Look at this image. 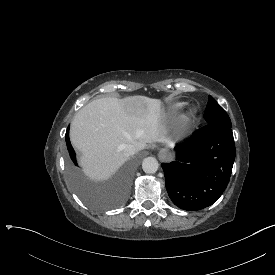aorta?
I'll return each mask as SVG.
<instances>
[{"label":"aorta","instance_id":"obj_1","mask_svg":"<svg viewBox=\"0 0 275 275\" xmlns=\"http://www.w3.org/2000/svg\"><path fill=\"white\" fill-rule=\"evenodd\" d=\"M142 167L146 173H154L158 169V161L154 157H146L143 159Z\"/></svg>","mask_w":275,"mask_h":275}]
</instances>
